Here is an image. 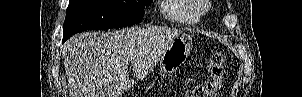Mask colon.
I'll return each instance as SVG.
<instances>
[{"label":"colon","mask_w":302,"mask_h":97,"mask_svg":"<svg viewBox=\"0 0 302 97\" xmlns=\"http://www.w3.org/2000/svg\"><path fill=\"white\" fill-rule=\"evenodd\" d=\"M225 56L222 53H214L210 58L208 74L210 80L199 84L186 93V97H215L223 86L225 74Z\"/></svg>","instance_id":"1"}]
</instances>
